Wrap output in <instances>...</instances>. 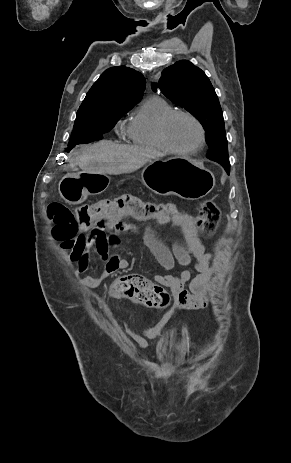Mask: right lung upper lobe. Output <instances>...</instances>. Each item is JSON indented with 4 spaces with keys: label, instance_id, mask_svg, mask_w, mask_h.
<instances>
[{
    "label": "right lung upper lobe",
    "instance_id": "1",
    "mask_svg": "<svg viewBox=\"0 0 291 463\" xmlns=\"http://www.w3.org/2000/svg\"><path fill=\"white\" fill-rule=\"evenodd\" d=\"M145 86L144 76L134 69L126 66L109 68L93 84L79 110L94 109L106 104L136 105Z\"/></svg>",
    "mask_w": 291,
    "mask_h": 463
}]
</instances>
